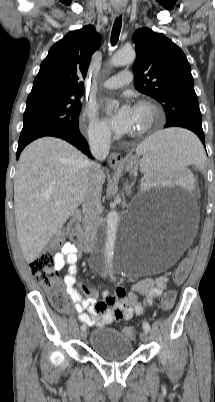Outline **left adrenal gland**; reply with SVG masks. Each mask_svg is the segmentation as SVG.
Here are the masks:
<instances>
[{
  "label": "left adrenal gland",
  "instance_id": "a2214340",
  "mask_svg": "<svg viewBox=\"0 0 215 402\" xmlns=\"http://www.w3.org/2000/svg\"><path fill=\"white\" fill-rule=\"evenodd\" d=\"M134 183H135L134 181H133L131 184H129L128 181L125 182L124 190H125V192H126L127 195H130V194H131V192H132V187L134 186Z\"/></svg>",
  "mask_w": 215,
  "mask_h": 402
}]
</instances>
